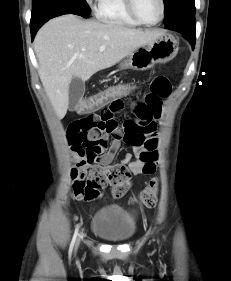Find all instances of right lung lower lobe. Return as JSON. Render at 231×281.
Here are the masks:
<instances>
[{
    "label": "right lung lower lobe",
    "mask_w": 231,
    "mask_h": 281,
    "mask_svg": "<svg viewBox=\"0 0 231 281\" xmlns=\"http://www.w3.org/2000/svg\"><path fill=\"white\" fill-rule=\"evenodd\" d=\"M70 13L84 18L88 17V14L82 11L76 4L66 0H43L39 6L32 10L30 24L32 41L39 28L49 19Z\"/></svg>",
    "instance_id": "right-lung-lower-lobe-1"
}]
</instances>
